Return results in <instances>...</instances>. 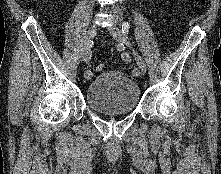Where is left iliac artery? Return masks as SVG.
Returning <instances> with one entry per match:
<instances>
[{
	"label": "left iliac artery",
	"mask_w": 221,
	"mask_h": 174,
	"mask_svg": "<svg viewBox=\"0 0 221 174\" xmlns=\"http://www.w3.org/2000/svg\"><path fill=\"white\" fill-rule=\"evenodd\" d=\"M122 32L125 33V34H128V32H129V24H128L127 22H124V23L122 24ZM121 59H122L123 61H128V60L130 59L129 53H127V52H122V53H121ZM138 73H139V71H138L137 69H135V70L133 71V74H135V75H137Z\"/></svg>",
	"instance_id": "obj_1"
}]
</instances>
